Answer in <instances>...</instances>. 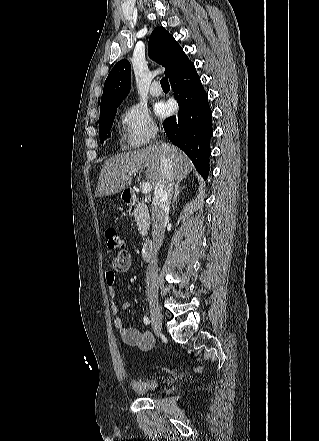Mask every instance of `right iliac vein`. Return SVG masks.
<instances>
[{
    "instance_id": "1",
    "label": "right iliac vein",
    "mask_w": 319,
    "mask_h": 441,
    "mask_svg": "<svg viewBox=\"0 0 319 441\" xmlns=\"http://www.w3.org/2000/svg\"><path fill=\"white\" fill-rule=\"evenodd\" d=\"M150 307V318L152 321V325L154 328V332L159 334L162 330V314L159 308V305L155 301H151L149 304Z\"/></svg>"
}]
</instances>
